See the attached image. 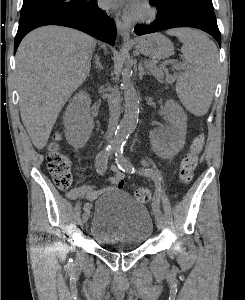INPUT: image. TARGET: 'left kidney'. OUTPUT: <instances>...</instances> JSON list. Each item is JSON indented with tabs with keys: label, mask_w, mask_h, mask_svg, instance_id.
I'll return each instance as SVG.
<instances>
[{
	"label": "left kidney",
	"mask_w": 245,
	"mask_h": 300,
	"mask_svg": "<svg viewBox=\"0 0 245 300\" xmlns=\"http://www.w3.org/2000/svg\"><path fill=\"white\" fill-rule=\"evenodd\" d=\"M164 111L170 126L151 133L156 151L166 157L175 156L183 147L186 136V114L174 100L165 103Z\"/></svg>",
	"instance_id": "left-kidney-1"
}]
</instances>
